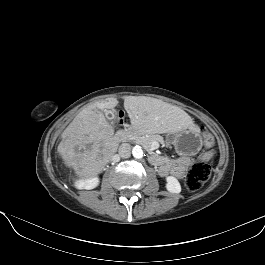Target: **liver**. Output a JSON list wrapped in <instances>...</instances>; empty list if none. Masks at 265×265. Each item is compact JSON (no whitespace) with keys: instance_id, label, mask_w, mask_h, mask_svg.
Here are the masks:
<instances>
[{"instance_id":"obj_1","label":"liver","mask_w":265,"mask_h":265,"mask_svg":"<svg viewBox=\"0 0 265 265\" xmlns=\"http://www.w3.org/2000/svg\"><path fill=\"white\" fill-rule=\"evenodd\" d=\"M114 97L97 101L83 108L63 131L57 147L67 167L73 168L79 180L99 174L119 146L114 128L103 113L117 106ZM124 108L131 124L151 133L179 132L192 129L199 132L188 113L177 106L155 98L126 96Z\"/></svg>"}]
</instances>
